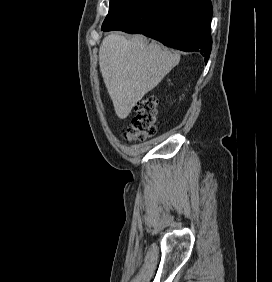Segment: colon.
Returning <instances> with one entry per match:
<instances>
[{
	"label": "colon",
	"mask_w": 272,
	"mask_h": 282,
	"mask_svg": "<svg viewBox=\"0 0 272 282\" xmlns=\"http://www.w3.org/2000/svg\"><path fill=\"white\" fill-rule=\"evenodd\" d=\"M134 113L124 133V138L128 141L142 142L156 132L158 118L156 97L147 96L138 101L134 106Z\"/></svg>",
	"instance_id": "obj_1"
}]
</instances>
